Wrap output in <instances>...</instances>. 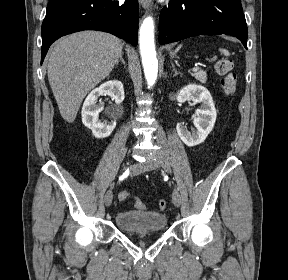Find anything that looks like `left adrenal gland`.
<instances>
[{"mask_svg":"<svg viewBox=\"0 0 288 280\" xmlns=\"http://www.w3.org/2000/svg\"><path fill=\"white\" fill-rule=\"evenodd\" d=\"M173 71H174V76L179 74V72L176 69H173Z\"/></svg>","mask_w":288,"mask_h":280,"instance_id":"left-adrenal-gland-1","label":"left adrenal gland"}]
</instances>
